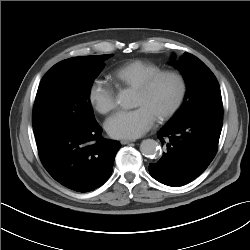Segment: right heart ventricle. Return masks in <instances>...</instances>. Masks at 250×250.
I'll return each instance as SVG.
<instances>
[{"label":"right heart ventricle","mask_w":250,"mask_h":250,"mask_svg":"<svg viewBox=\"0 0 250 250\" xmlns=\"http://www.w3.org/2000/svg\"><path fill=\"white\" fill-rule=\"evenodd\" d=\"M160 70L161 68L152 62L132 60L114 69L111 79L118 87L136 89L146 78Z\"/></svg>","instance_id":"1"}]
</instances>
